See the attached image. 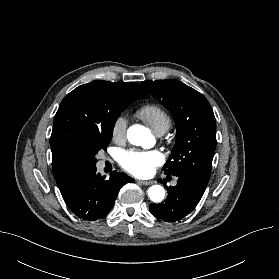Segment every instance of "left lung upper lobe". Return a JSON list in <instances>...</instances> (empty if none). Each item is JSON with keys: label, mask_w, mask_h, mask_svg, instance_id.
I'll return each instance as SVG.
<instances>
[{"label": "left lung upper lobe", "mask_w": 279, "mask_h": 279, "mask_svg": "<svg viewBox=\"0 0 279 279\" xmlns=\"http://www.w3.org/2000/svg\"><path fill=\"white\" fill-rule=\"evenodd\" d=\"M162 100L176 123V143L163 170L166 175L190 177L205 185L216 148V121L208 100L176 79L141 82Z\"/></svg>", "instance_id": "left-lung-upper-lobe-1"}]
</instances>
